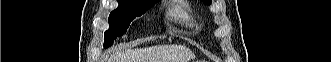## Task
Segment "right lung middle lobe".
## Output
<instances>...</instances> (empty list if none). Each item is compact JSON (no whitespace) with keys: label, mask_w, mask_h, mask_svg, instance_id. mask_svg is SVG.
<instances>
[{"label":"right lung middle lobe","mask_w":331,"mask_h":62,"mask_svg":"<svg viewBox=\"0 0 331 62\" xmlns=\"http://www.w3.org/2000/svg\"><path fill=\"white\" fill-rule=\"evenodd\" d=\"M119 6L109 16V29L104 33V46H109L114 39L126 33L134 18L141 16L156 2H142L135 0H118Z\"/></svg>","instance_id":"obj_1"}]
</instances>
